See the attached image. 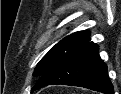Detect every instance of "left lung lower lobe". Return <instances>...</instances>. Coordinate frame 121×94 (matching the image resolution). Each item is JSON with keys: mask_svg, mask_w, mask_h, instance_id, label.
<instances>
[{"mask_svg": "<svg viewBox=\"0 0 121 94\" xmlns=\"http://www.w3.org/2000/svg\"><path fill=\"white\" fill-rule=\"evenodd\" d=\"M80 86L104 94H114L107 66L98 54V46L88 42L58 61L40 76L31 91L48 85Z\"/></svg>", "mask_w": 121, "mask_h": 94, "instance_id": "left-lung-lower-lobe-1", "label": "left lung lower lobe"}]
</instances>
